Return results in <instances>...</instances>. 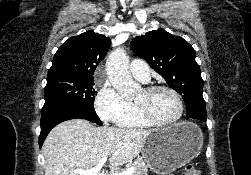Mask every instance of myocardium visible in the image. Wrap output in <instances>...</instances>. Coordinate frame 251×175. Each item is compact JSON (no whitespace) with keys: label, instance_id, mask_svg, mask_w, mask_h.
I'll use <instances>...</instances> for the list:
<instances>
[{"label":"myocardium","instance_id":"1","mask_svg":"<svg viewBox=\"0 0 251 175\" xmlns=\"http://www.w3.org/2000/svg\"><path fill=\"white\" fill-rule=\"evenodd\" d=\"M145 90L149 91V92H155V91H160V90L170 91L175 95V97L179 103V106H180V115H179L178 119L176 121L170 122V123L161 122L158 119H156L151 113L143 111L136 106V110H137L138 114L141 117H143L149 124L157 126V127H162V128H172V127L178 126L184 122L185 117H186V107H185V103H184L182 94L176 88L171 87L169 85H156V86L148 87Z\"/></svg>","mask_w":251,"mask_h":175}]
</instances>
